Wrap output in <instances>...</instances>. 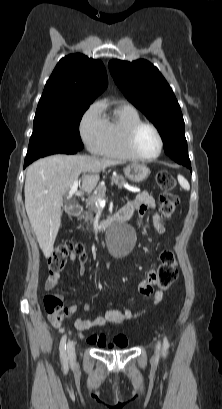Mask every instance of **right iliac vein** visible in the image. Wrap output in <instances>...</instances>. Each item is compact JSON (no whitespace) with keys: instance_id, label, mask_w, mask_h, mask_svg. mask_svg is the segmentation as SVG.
<instances>
[{"instance_id":"obj_1","label":"right iliac vein","mask_w":222,"mask_h":409,"mask_svg":"<svg viewBox=\"0 0 222 409\" xmlns=\"http://www.w3.org/2000/svg\"><path fill=\"white\" fill-rule=\"evenodd\" d=\"M67 353H68L69 360L74 361L75 357H76L74 341H69L68 342V344H67Z\"/></svg>"}]
</instances>
